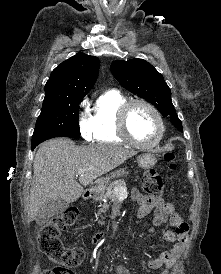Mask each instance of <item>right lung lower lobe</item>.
<instances>
[{"label":"right lung lower lobe","instance_id":"obj_1","mask_svg":"<svg viewBox=\"0 0 221 274\" xmlns=\"http://www.w3.org/2000/svg\"><path fill=\"white\" fill-rule=\"evenodd\" d=\"M36 146H32V150L35 148Z\"/></svg>","mask_w":221,"mask_h":274}]
</instances>
